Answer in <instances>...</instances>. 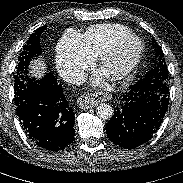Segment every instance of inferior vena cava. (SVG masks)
I'll return each instance as SVG.
<instances>
[{
  "mask_svg": "<svg viewBox=\"0 0 183 183\" xmlns=\"http://www.w3.org/2000/svg\"><path fill=\"white\" fill-rule=\"evenodd\" d=\"M83 76L84 73L80 68H71L64 74L65 80L70 83H78Z\"/></svg>",
  "mask_w": 183,
  "mask_h": 183,
  "instance_id": "1",
  "label": "inferior vena cava"
}]
</instances>
